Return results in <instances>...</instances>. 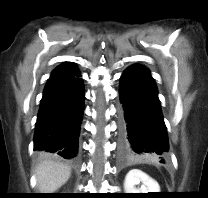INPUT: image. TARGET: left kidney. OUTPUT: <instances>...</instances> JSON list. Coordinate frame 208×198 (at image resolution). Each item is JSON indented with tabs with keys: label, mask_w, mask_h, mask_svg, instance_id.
<instances>
[{
	"label": "left kidney",
	"mask_w": 208,
	"mask_h": 198,
	"mask_svg": "<svg viewBox=\"0 0 208 198\" xmlns=\"http://www.w3.org/2000/svg\"><path fill=\"white\" fill-rule=\"evenodd\" d=\"M142 183L141 187L136 186ZM125 193L160 192L158 183L139 169L130 170L124 181Z\"/></svg>",
	"instance_id": "left-kidney-1"
}]
</instances>
